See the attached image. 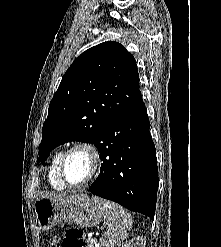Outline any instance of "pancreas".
Returning <instances> with one entry per match:
<instances>
[{"instance_id":"cf45deb5","label":"pancreas","mask_w":221,"mask_h":247,"mask_svg":"<svg viewBox=\"0 0 221 247\" xmlns=\"http://www.w3.org/2000/svg\"><path fill=\"white\" fill-rule=\"evenodd\" d=\"M88 243H89V247H94L95 241L92 240V239H89V240H88Z\"/></svg>"}]
</instances>
